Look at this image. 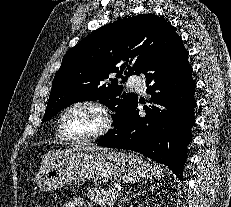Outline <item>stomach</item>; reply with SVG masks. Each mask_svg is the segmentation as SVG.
Instances as JSON below:
<instances>
[{"label": "stomach", "mask_w": 231, "mask_h": 207, "mask_svg": "<svg viewBox=\"0 0 231 207\" xmlns=\"http://www.w3.org/2000/svg\"><path fill=\"white\" fill-rule=\"evenodd\" d=\"M151 175L150 164L136 154L76 150L62 154L43 167L35 181L40 191L48 192L87 180L134 183Z\"/></svg>", "instance_id": "0dacf381"}]
</instances>
